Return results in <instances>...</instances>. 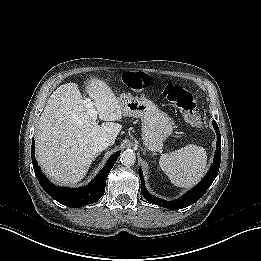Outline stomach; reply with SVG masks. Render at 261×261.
Instances as JSON below:
<instances>
[{"label": "stomach", "mask_w": 261, "mask_h": 261, "mask_svg": "<svg viewBox=\"0 0 261 261\" xmlns=\"http://www.w3.org/2000/svg\"><path fill=\"white\" fill-rule=\"evenodd\" d=\"M123 115L140 118L142 140L150 152L163 149V142L171 135L173 123L151 100L122 94L118 97Z\"/></svg>", "instance_id": "1"}]
</instances>
